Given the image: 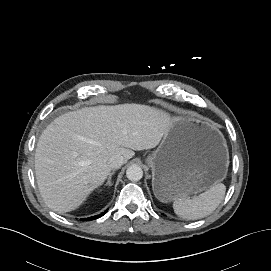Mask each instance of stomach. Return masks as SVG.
I'll use <instances>...</instances> for the list:
<instances>
[{
  "mask_svg": "<svg viewBox=\"0 0 271 271\" xmlns=\"http://www.w3.org/2000/svg\"><path fill=\"white\" fill-rule=\"evenodd\" d=\"M155 197L169 203L221 182L229 152L223 134L191 114L174 117L159 147L147 157Z\"/></svg>",
  "mask_w": 271,
  "mask_h": 271,
  "instance_id": "1",
  "label": "stomach"
}]
</instances>
